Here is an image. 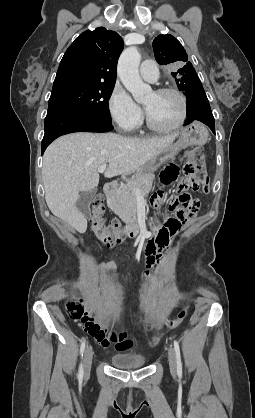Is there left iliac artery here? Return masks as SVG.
<instances>
[{"instance_id":"44dca946","label":"left iliac artery","mask_w":255,"mask_h":418,"mask_svg":"<svg viewBox=\"0 0 255 418\" xmlns=\"http://www.w3.org/2000/svg\"><path fill=\"white\" fill-rule=\"evenodd\" d=\"M174 349H175L176 360H177V374L181 376L182 375V362H181L179 344L176 340H174Z\"/></svg>"}]
</instances>
